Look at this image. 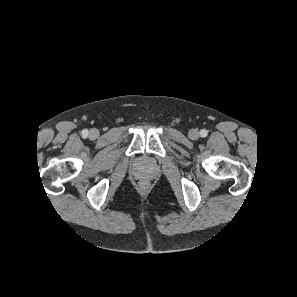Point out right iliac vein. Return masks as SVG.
<instances>
[{
	"mask_svg": "<svg viewBox=\"0 0 297 297\" xmlns=\"http://www.w3.org/2000/svg\"><path fill=\"white\" fill-rule=\"evenodd\" d=\"M98 136H99V132H98L97 129H91V130L89 131V137H90L91 139H96V138H98Z\"/></svg>",
	"mask_w": 297,
	"mask_h": 297,
	"instance_id": "63e3f726",
	"label": "right iliac vein"
}]
</instances>
